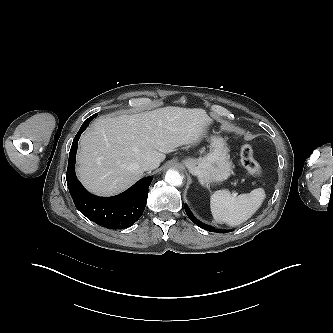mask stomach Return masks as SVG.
<instances>
[{"label":"stomach","instance_id":"stomach-1","mask_svg":"<svg viewBox=\"0 0 333 333\" xmlns=\"http://www.w3.org/2000/svg\"><path fill=\"white\" fill-rule=\"evenodd\" d=\"M182 163L202 185L224 181L232 172L229 148L220 136L211 137L210 151L204 157H187Z\"/></svg>","mask_w":333,"mask_h":333}]
</instances>
